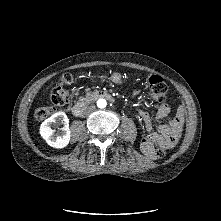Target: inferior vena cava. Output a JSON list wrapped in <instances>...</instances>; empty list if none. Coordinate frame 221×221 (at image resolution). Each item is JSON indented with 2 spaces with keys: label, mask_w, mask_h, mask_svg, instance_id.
<instances>
[{
  "label": "inferior vena cava",
  "mask_w": 221,
  "mask_h": 221,
  "mask_svg": "<svg viewBox=\"0 0 221 221\" xmlns=\"http://www.w3.org/2000/svg\"><path fill=\"white\" fill-rule=\"evenodd\" d=\"M94 110H95V106L91 105L85 109L84 114L88 115V114L92 113Z\"/></svg>",
  "instance_id": "602c4592"
}]
</instances>
